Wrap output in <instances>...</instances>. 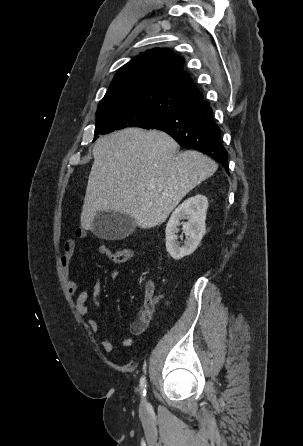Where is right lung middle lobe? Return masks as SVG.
<instances>
[{
	"mask_svg": "<svg viewBox=\"0 0 303 446\" xmlns=\"http://www.w3.org/2000/svg\"><path fill=\"white\" fill-rule=\"evenodd\" d=\"M181 101L173 102L170 111L181 107ZM169 112V111H168ZM162 110L152 109L142 105L111 104L97 109V122L95 137L112 131L127 128L140 127L144 123L164 114Z\"/></svg>",
	"mask_w": 303,
	"mask_h": 446,
	"instance_id": "right-lung-middle-lobe-1",
	"label": "right lung middle lobe"
}]
</instances>
